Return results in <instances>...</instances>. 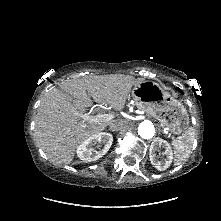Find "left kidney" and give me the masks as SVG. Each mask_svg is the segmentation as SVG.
I'll use <instances>...</instances> for the list:
<instances>
[{"label":"left kidney","instance_id":"1","mask_svg":"<svg viewBox=\"0 0 221 221\" xmlns=\"http://www.w3.org/2000/svg\"><path fill=\"white\" fill-rule=\"evenodd\" d=\"M161 147L165 150L164 159L159 161L156 158V151ZM149 157L151 164L156 169H158L159 171L166 170L167 168H169L173 160V153L170 144L166 140L156 138L150 146Z\"/></svg>","mask_w":221,"mask_h":221}]
</instances>
